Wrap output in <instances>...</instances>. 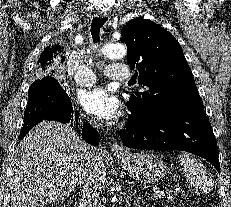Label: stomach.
Masks as SVG:
<instances>
[{"label": "stomach", "mask_w": 231, "mask_h": 207, "mask_svg": "<svg viewBox=\"0 0 231 207\" xmlns=\"http://www.w3.org/2000/svg\"><path fill=\"white\" fill-rule=\"evenodd\" d=\"M117 159L129 176L144 184L154 183L167 173L165 163L150 152H124L117 154Z\"/></svg>", "instance_id": "stomach-1"}]
</instances>
